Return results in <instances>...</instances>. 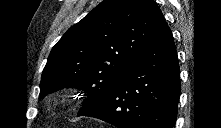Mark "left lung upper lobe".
I'll list each match as a JSON object with an SVG mask.
<instances>
[{
    "instance_id": "obj_1",
    "label": "left lung upper lobe",
    "mask_w": 221,
    "mask_h": 128,
    "mask_svg": "<svg viewBox=\"0 0 221 128\" xmlns=\"http://www.w3.org/2000/svg\"><path fill=\"white\" fill-rule=\"evenodd\" d=\"M167 23L153 0H104L55 44L39 98L61 87L82 89L78 115L104 101Z\"/></svg>"
}]
</instances>
